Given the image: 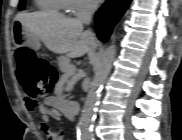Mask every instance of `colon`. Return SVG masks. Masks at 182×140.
<instances>
[{"instance_id": "1", "label": "colon", "mask_w": 182, "mask_h": 140, "mask_svg": "<svg viewBox=\"0 0 182 140\" xmlns=\"http://www.w3.org/2000/svg\"><path fill=\"white\" fill-rule=\"evenodd\" d=\"M17 76L24 87L26 98L32 103L47 94L54 79L53 67L40 54L29 48L16 53Z\"/></svg>"}]
</instances>
